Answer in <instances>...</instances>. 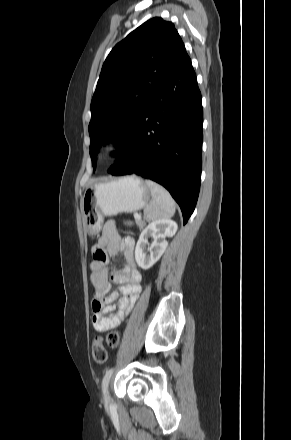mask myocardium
I'll list each match as a JSON object with an SVG mask.
<instances>
[{"instance_id": "1", "label": "myocardium", "mask_w": 291, "mask_h": 440, "mask_svg": "<svg viewBox=\"0 0 291 440\" xmlns=\"http://www.w3.org/2000/svg\"><path fill=\"white\" fill-rule=\"evenodd\" d=\"M120 150L121 143L118 137H112L103 147V153L107 157L116 155Z\"/></svg>"}]
</instances>
